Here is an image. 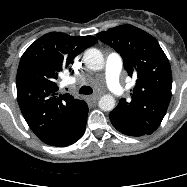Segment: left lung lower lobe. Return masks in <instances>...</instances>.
<instances>
[{
  "label": "left lung lower lobe",
  "instance_id": "obj_1",
  "mask_svg": "<svg viewBox=\"0 0 187 187\" xmlns=\"http://www.w3.org/2000/svg\"><path fill=\"white\" fill-rule=\"evenodd\" d=\"M110 121L119 132L125 135L137 137L147 134L146 132L130 124L114 112L110 113Z\"/></svg>",
  "mask_w": 187,
  "mask_h": 187
}]
</instances>
